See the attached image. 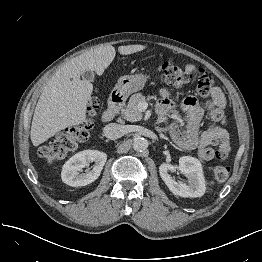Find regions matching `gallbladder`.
I'll return each instance as SVG.
<instances>
[{"label":"gallbladder","instance_id":"gallbladder-1","mask_svg":"<svg viewBox=\"0 0 262 262\" xmlns=\"http://www.w3.org/2000/svg\"><path fill=\"white\" fill-rule=\"evenodd\" d=\"M82 79L88 82H91L94 80V72L91 70H86L82 74Z\"/></svg>","mask_w":262,"mask_h":262}]
</instances>
